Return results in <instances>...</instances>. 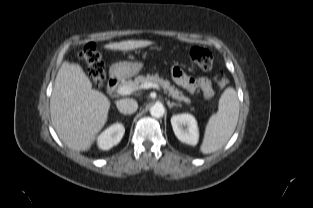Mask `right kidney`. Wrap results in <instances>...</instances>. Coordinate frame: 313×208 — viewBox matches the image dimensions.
<instances>
[{
    "label": "right kidney",
    "instance_id": "right-kidney-1",
    "mask_svg": "<svg viewBox=\"0 0 313 208\" xmlns=\"http://www.w3.org/2000/svg\"><path fill=\"white\" fill-rule=\"evenodd\" d=\"M125 133L121 123H115L102 132L98 137V146L102 150H109L117 145Z\"/></svg>",
    "mask_w": 313,
    "mask_h": 208
}]
</instances>
